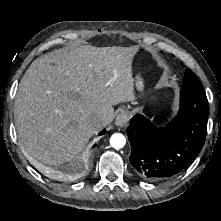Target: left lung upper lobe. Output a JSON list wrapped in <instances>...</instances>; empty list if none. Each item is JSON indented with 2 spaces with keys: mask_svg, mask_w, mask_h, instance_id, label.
Instances as JSON below:
<instances>
[{
  "mask_svg": "<svg viewBox=\"0 0 221 221\" xmlns=\"http://www.w3.org/2000/svg\"><path fill=\"white\" fill-rule=\"evenodd\" d=\"M183 89H186L188 91L198 93V94H206L199 79L189 69H186L185 71V76L183 78Z\"/></svg>",
  "mask_w": 221,
  "mask_h": 221,
  "instance_id": "left-lung-upper-lobe-1",
  "label": "left lung upper lobe"
}]
</instances>
